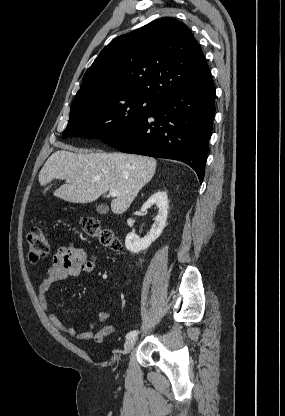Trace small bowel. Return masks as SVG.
<instances>
[{"label": "small bowel", "instance_id": "c3829d8e", "mask_svg": "<svg viewBox=\"0 0 285 416\" xmlns=\"http://www.w3.org/2000/svg\"><path fill=\"white\" fill-rule=\"evenodd\" d=\"M95 261V257L89 256L86 250L81 247L72 244L60 247L53 257L51 266L39 283L37 297L48 320L58 331L78 340H94L97 343H103L115 330V326L108 323L110 317L108 312L99 311L94 322L81 328H75L62 322L51 311L47 299V292L52 283L81 274H90L95 268Z\"/></svg>", "mask_w": 285, "mask_h": 416}]
</instances>
